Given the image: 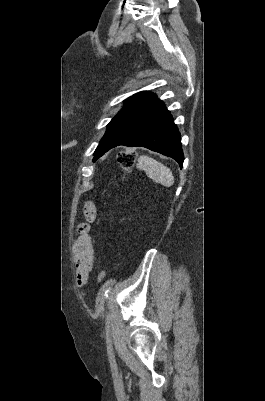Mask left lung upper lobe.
I'll list each match as a JSON object with an SVG mask.
<instances>
[{"instance_id":"obj_1","label":"left lung upper lobe","mask_w":265,"mask_h":401,"mask_svg":"<svg viewBox=\"0 0 265 401\" xmlns=\"http://www.w3.org/2000/svg\"><path fill=\"white\" fill-rule=\"evenodd\" d=\"M155 99L156 95L150 92H140L128 98L123 109L108 124L106 133L101 141L115 131L125 120L143 109Z\"/></svg>"}]
</instances>
